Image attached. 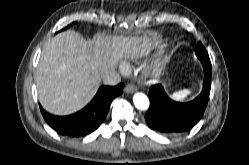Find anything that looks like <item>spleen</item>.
I'll return each mask as SVG.
<instances>
[{"instance_id":"spleen-1","label":"spleen","mask_w":249,"mask_h":165,"mask_svg":"<svg viewBox=\"0 0 249 165\" xmlns=\"http://www.w3.org/2000/svg\"><path fill=\"white\" fill-rule=\"evenodd\" d=\"M189 93L190 91L185 89V90L174 93L173 95H171V98L176 101H182L185 99V97H187Z\"/></svg>"}]
</instances>
